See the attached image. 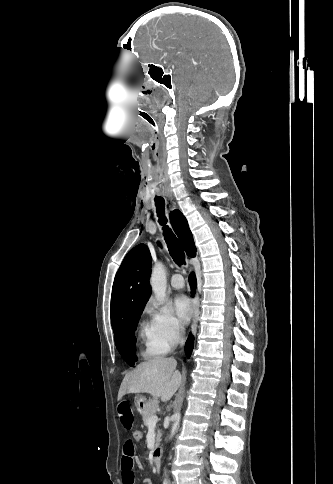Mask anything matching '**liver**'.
Segmentation results:
<instances>
[{
  "label": "liver",
  "instance_id": "6515ba94",
  "mask_svg": "<svg viewBox=\"0 0 333 484\" xmlns=\"http://www.w3.org/2000/svg\"><path fill=\"white\" fill-rule=\"evenodd\" d=\"M176 366L174 358H155L140 363L123 378L118 401L129 393H148L154 398H160L162 402L169 401L182 382Z\"/></svg>",
  "mask_w": 333,
  "mask_h": 484
}]
</instances>
